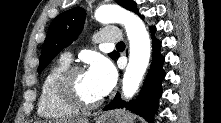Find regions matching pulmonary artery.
Returning a JSON list of instances; mask_svg holds the SVG:
<instances>
[{
  "label": "pulmonary artery",
  "mask_w": 221,
  "mask_h": 123,
  "mask_svg": "<svg viewBox=\"0 0 221 123\" xmlns=\"http://www.w3.org/2000/svg\"><path fill=\"white\" fill-rule=\"evenodd\" d=\"M98 41L102 43H116L119 42L121 37L118 29L116 28H104L102 29L97 36ZM62 58L71 61V54L70 53H64L62 55Z\"/></svg>",
  "instance_id": "pulmonary-artery-1"
}]
</instances>
